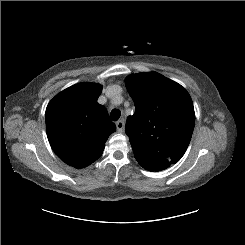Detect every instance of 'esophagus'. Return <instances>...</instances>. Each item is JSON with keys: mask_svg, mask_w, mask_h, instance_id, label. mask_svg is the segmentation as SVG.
Wrapping results in <instances>:
<instances>
[{"mask_svg": "<svg viewBox=\"0 0 245 245\" xmlns=\"http://www.w3.org/2000/svg\"><path fill=\"white\" fill-rule=\"evenodd\" d=\"M116 127H117V130L118 132H124V129H125V123H124V120L121 119L119 121L116 122Z\"/></svg>", "mask_w": 245, "mask_h": 245, "instance_id": "34e87169", "label": "esophagus"}]
</instances>
